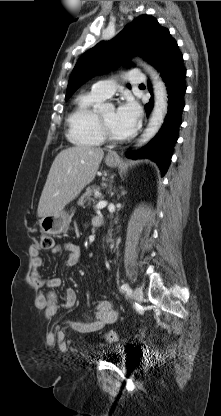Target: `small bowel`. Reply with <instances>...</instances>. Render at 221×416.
<instances>
[{
  "mask_svg": "<svg viewBox=\"0 0 221 416\" xmlns=\"http://www.w3.org/2000/svg\"><path fill=\"white\" fill-rule=\"evenodd\" d=\"M96 224V220L93 222ZM61 251H65L66 257L64 264L68 267L75 266L81 256L80 247L78 244L73 242H68L63 245H57L52 249L54 254H57ZM31 272H30V282L37 289H48L52 290L60 287L61 280L57 277L44 278L39 273V268L43 265V260L39 256L38 249L33 248L31 252ZM77 296L76 292L72 288H67L65 291L64 302L62 307L64 309H69L74 306ZM36 303L41 306L47 317H53L58 312L60 305L58 304L57 295L53 292H47L41 294L37 297ZM118 317V312L113 308L112 303L109 300H100L96 304L95 308V317L89 322L81 321H70L65 320L63 323L65 326L71 328L79 334L85 335L92 332H96L102 329L104 326L114 323ZM63 333V331H59Z\"/></svg>",
  "mask_w": 221,
  "mask_h": 416,
  "instance_id": "small-bowel-1",
  "label": "small bowel"
}]
</instances>
